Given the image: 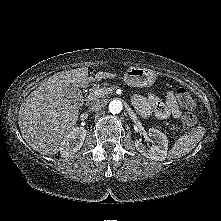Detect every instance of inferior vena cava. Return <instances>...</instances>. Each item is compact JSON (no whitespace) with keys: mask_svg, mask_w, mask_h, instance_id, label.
I'll list each match as a JSON object with an SVG mask.
<instances>
[{"mask_svg":"<svg viewBox=\"0 0 221 221\" xmlns=\"http://www.w3.org/2000/svg\"><path fill=\"white\" fill-rule=\"evenodd\" d=\"M104 107H105V101L97 100V101L91 103L89 109L92 112H97V111L103 109Z\"/></svg>","mask_w":221,"mask_h":221,"instance_id":"1","label":"inferior vena cava"}]
</instances>
